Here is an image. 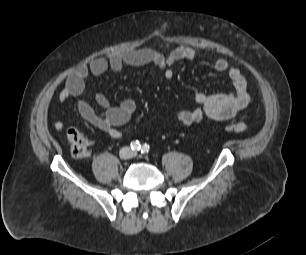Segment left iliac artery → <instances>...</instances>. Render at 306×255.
Here are the masks:
<instances>
[{
  "instance_id": "1",
  "label": "left iliac artery",
  "mask_w": 306,
  "mask_h": 255,
  "mask_svg": "<svg viewBox=\"0 0 306 255\" xmlns=\"http://www.w3.org/2000/svg\"><path fill=\"white\" fill-rule=\"evenodd\" d=\"M149 150H150V147H149V145H148V144H144V145H142V147H141V153H142V154H146V153H148V152H149Z\"/></svg>"
}]
</instances>
